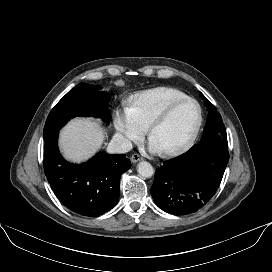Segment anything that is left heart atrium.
Listing matches in <instances>:
<instances>
[{
	"instance_id": "left-heart-atrium-1",
	"label": "left heart atrium",
	"mask_w": 272,
	"mask_h": 272,
	"mask_svg": "<svg viewBox=\"0 0 272 272\" xmlns=\"http://www.w3.org/2000/svg\"><path fill=\"white\" fill-rule=\"evenodd\" d=\"M148 148L151 152H160V148L156 145V143L150 139Z\"/></svg>"
}]
</instances>
